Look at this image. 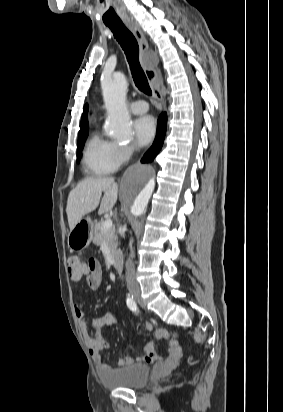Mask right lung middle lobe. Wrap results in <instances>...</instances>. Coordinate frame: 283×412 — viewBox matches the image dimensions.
Returning a JSON list of instances; mask_svg holds the SVG:
<instances>
[{"label": "right lung middle lobe", "instance_id": "1", "mask_svg": "<svg viewBox=\"0 0 283 412\" xmlns=\"http://www.w3.org/2000/svg\"><path fill=\"white\" fill-rule=\"evenodd\" d=\"M86 138H87V133L82 134V135H79L78 144H77V150L80 151V150L83 148ZM79 157H80V155H78V158H79Z\"/></svg>", "mask_w": 283, "mask_h": 412}]
</instances>
